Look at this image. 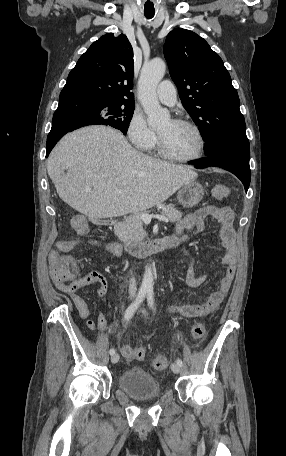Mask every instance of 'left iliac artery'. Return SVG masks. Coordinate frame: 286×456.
<instances>
[{"mask_svg":"<svg viewBox=\"0 0 286 456\" xmlns=\"http://www.w3.org/2000/svg\"><path fill=\"white\" fill-rule=\"evenodd\" d=\"M147 301H148V305L153 309L154 307V293H153V290H148L147 291ZM176 363L180 366L183 365V362L181 359H177L176 360Z\"/></svg>","mask_w":286,"mask_h":456,"instance_id":"obj_1","label":"left iliac artery"}]
</instances>
